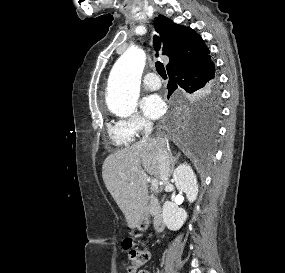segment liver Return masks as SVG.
Wrapping results in <instances>:
<instances>
[{
  "label": "liver",
  "mask_w": 285,
  "mask_h": 273,
  "mask_svg": "<svg viewBox=\"0 0 285 273\" xmlns=\"http://www.w3.org/2000/svg\"><path fill=\"white\" fill-rule=\"evenodd\" d=\"M157 152V143L140 141L110 154L103 163L105 186L130 228L136 227L146 205L148 174L160 177Z\"/></svg>",
  "instance_id": "1"
}]
</instances>
